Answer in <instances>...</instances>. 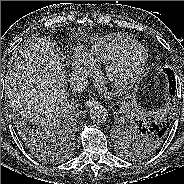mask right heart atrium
Returning a JSON list of instances; mask_svg holds the SVG:
<instances>
[{
  "instance_id": "1",
  "label": "right heart atrium",
  "mask_w": 184,
  "mask_h": 184,
  "mask_svg": "<svg viewBox=\"0 0 184 184\" xmlns=\"http://www.w3.org/2000/svg\"><path fill=\"white\" fill-rule=\"evenodd\" d=\"M71 64L75 71L84 75H91L96 69L95 64L88 58L86 52L81 48H77L73 52Z\"/></svg>"
}]
</instances>
